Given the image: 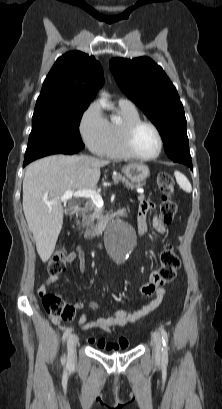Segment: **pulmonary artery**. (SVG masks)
Instances as JSON below:
<instances>
[{
  "mask_svg": "<svg viewBox=\"0 0 222 409\" xmlns=\"http://www.w3.org/2000/svg\"><path fill=\"white\" fill-rule=\"evenodd\" d=\"M118 103L126 106H134V104L130 100L124 98H120Z\"/></svg>",
  "mask_w": 222,
  "mask_h": 409,
  "instance_id": "pulmonary-artery-1",
  "label": "pulmonary artery"
}]
</instances>
